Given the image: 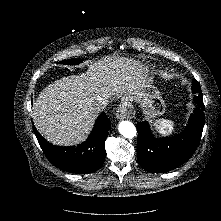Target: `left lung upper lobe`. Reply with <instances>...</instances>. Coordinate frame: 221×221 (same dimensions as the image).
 Instances as JSON below:
<instances>
[{
	"label": "left lung upper lobe",
	"mask_w": 221,
	"mask_h": 221,
	"mask_svg": "<svg viewBox=\"0 0 221 221\" xmlns=\"http://www.w3.org/2000/svg\"><path fill=\"white\" fill-rule=\"evenodd\" d=\"M192 90H193L194 93H198V94L202 93L199 83L195 80H193Z\"/></svg>",
	"instance_id": "obj_1"
}]
</instances>
